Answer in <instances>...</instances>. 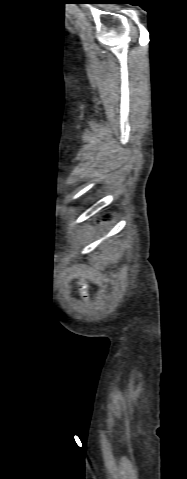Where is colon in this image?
<instances>
[{
	"mask_svg": "<svg viewBox=\"0 0 187 479\" xmlns=\"http://www.w3.org/2000/svg\"><path fill=\"white\" fill-rule=\"evenodd\" d=\"M82 296H83V298L86 299V300L89 298V295H88V293H87L86 290H83V291H82Z\"/></svg>",
	"mask_w": 187,
	"mask_h": 479,
	"instance_id": "5ec220e1",
	"label": "colon"
}]
</instances>
